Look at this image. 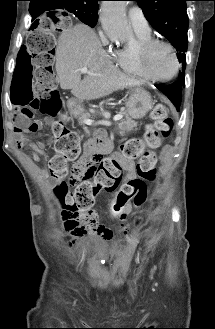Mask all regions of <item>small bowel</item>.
Returning <instances> with one entry per match:
<instances>
[{
  "mask_svg": "<svg viewBox=\"0 0 215 329\" xmlns=\"http://www.w3.org/2000/svg\"><path fill=\"white\" fill-rule=\"evenodd\" d=\"M18 134L26 133L20 130L19 126L16 128ZM51 141H28L24 137H20L19 146L27 150L35 161L45 160L47 155L45 147ZM98 152V143L95 139L89 140L85 145L84 155L76 162L73 169L82 168L87 159ZM123 167L128 173L126 182H121V187L117 188L115 197H112V203L109 208L105 209L106 215H111L112 219H121L125 221L127 215L130 213L131 208H136L133 212L134 218H145V201L148 199L150 189L148 182H143V178H136L137 169L133 160L128 159L123 162ZM71 180V178H70ZM65 228L71 232L72 238L76 239L84 236L87 232L96 234L108 239H112L114 234L111 230L107 229L99 221L98 213L91 210L85 215H74L66 218ZM127 226L122 224L121 233L126 234Z\"/></svg>",
  "mask_w": 215,
  "mask_h": 329,
  "instance_id": "obj_1",
  "label": "small bowel"
}]
</instances>
